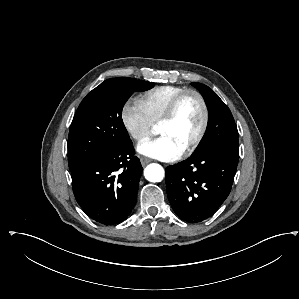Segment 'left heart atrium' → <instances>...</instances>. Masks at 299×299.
I'll list each match as a JSON object with an SVG mask.
<instances>
[{"instance_id":"left-heart-atrium-1","label":"left heart atrium","mask_w":299,"mask_h":299,"mask_svg":"<svg viewBox=\"0 0 299 299\" xmlns=\"http://www.w3.org/2000/svg\"><path fill=\"white\" fill-rule=\"evenodd\" d=\"M137 151L148 157L164 161L178 159L183 154V149L166 136L146 140L138 145Z\"/></svg>"}]
</instances>
